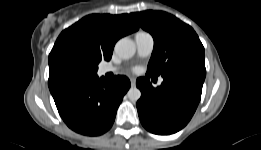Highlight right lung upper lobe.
<instances>
[{"label": "right lung upper lobe", "instance_id": "obj_1", "mask_svg": "<svg viewBox=\"0 0 261 150\" xmlns=\"http://www.w3.org/2000/svg\"><path fill=\"white\" fill-rule=\"evenodd\" d=\"M138 29L128 14H92L62 31L49 54L51 94L97 78L98 63L111 59L117 40Z\"/></svg>", "mask_w": 261, "mask_h": 150}]
</instances>
